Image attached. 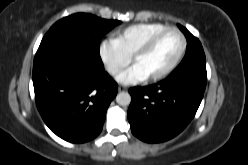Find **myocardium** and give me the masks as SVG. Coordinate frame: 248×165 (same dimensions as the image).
Here are the masks:
<instances>
[{
    "label": "myocardium",
    "instance_id": "myocardium-1",
    "mask_svg": "<svg viewBox=\"0 0 248 165\" xmlns=\"http://www.w3.org/2000/svg\"><path fill=\"white\" fill-rule=\"evenodd\" d=\"M175 32L180 40H181V47L180 50L176 56V58L173 60V62L166 68L164 69L162 72L148 77L149 81L155 82V81H160L164 78H166L170 73H172L176 67L180 64L181 60L183 59L186 49H187V40L185 35L182 33V31L180 29H178L177 27H173V26H168L165 27L157 32H155L154 34H152L133 54L132 57V61L135 62V60L144 55L145 53H147L152 47L153 45L156 43V41L166 32Z\"/></svg>",
    "mask_w": 248,
    "mask_h": 165
}]
</instances>
